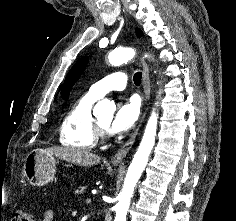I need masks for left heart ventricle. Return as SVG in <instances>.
I'll list each match as a JSON object with an SVG mask.
<instances>
[{"label":"left heart ventricle","instance_id":"left-heart-ventricle-1","mask_svg":"<svg viewBox=\"0 0 236 221\" xmlns=\"http://www.w3.org/2000/svg\"><path fill=\"white\" fill-rule=\"evenodd\" d=\"M98 121L103 127L107 128L110 122V117H101L98 118Z\"/></svg>","mask_w":236,"mask_h":221}]
</instances>
